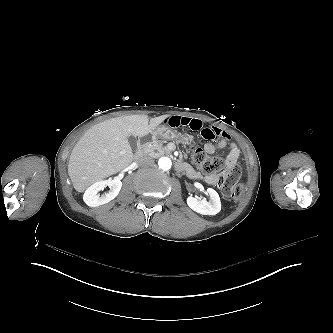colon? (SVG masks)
I'll use <instances>...</instances> for the list:
<instances>
[{
	"mask_svg": "<svg viewBox=\"0 0 333 333\" xmlns=\"http://www.w3.org/2000/svg\"><path fill=\"white\" fill-rule=\"evenodd\" d=\"M192 159L203 174L213 176L218 173L216 182L226 198L242 197L244 186L240 182L242 170L239 164H227L223 158L210 156L197 146L192 147Z\"/></svg>",
	"mask_w": 333,
	"mask_h": 333,
	"instance_id": "1",
	"label": "colon"
}]
</instances>
